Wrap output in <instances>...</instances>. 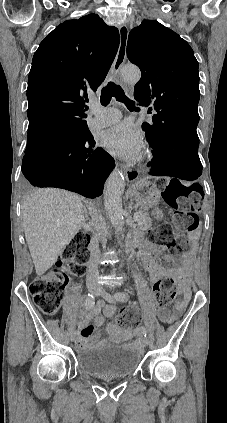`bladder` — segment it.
Listing matches in <instances>:
<instances>
[{
	"mask_svg": "<svg viewBox=\"0 0 227 423\" xmlns=\"http://www.w3.org/2000/svg\"><path fill=\"white\" fill-rule=\"evenodd\" d=\"M142 350L120 344L100 345L79 352L75 364L86 375L101 380L131 378L141 366Z\"/></svg>",
	"mask_w": 227,
	"mask_h": 423,
	"instance_id": "obj_1",
	"label": "bladder"
}]
</instances>
